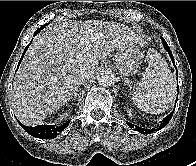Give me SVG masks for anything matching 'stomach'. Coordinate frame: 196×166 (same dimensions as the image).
<instances>
[{"instance_id": "stomach-1", "label": "stomach", "mask_w": 196, "mask_h": 166, "mask_svg": "<svg viewBox=\"0 0 196 166\" xmlns=\"http://www.w3.org/2000/svg\"><path fill=\"white\" fill-rule=\"evenodd\" d=\"M142 58L143 53L138 46L124 45L115 54L116 67L123 75H133L138 71Z\"/></svg>"}]
</instances>
